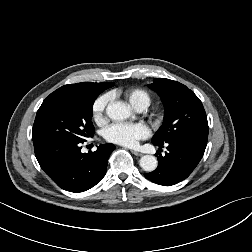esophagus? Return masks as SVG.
<instances>
[{
	"label": "esophagus",
	"instance_id": "obj_1",
	"mask_svg": "<svg viewBox=\"0 0 252 252\" xmlns=\"http://www.w3.org/2000/svg\"><path fill=\"white\" fill-rule=\"evenodd\" d=\"M132 154L136 155V156H142L143 154L141 152H138L136 150H131Z\"/></svg>",
	"mask_w": 252,
	"mask_h": 252
}]
</instances>
